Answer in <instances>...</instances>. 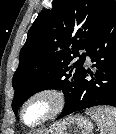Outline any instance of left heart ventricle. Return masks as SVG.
I'll return each instance as SVG.
<instances>
[{
	"label": "left heart ventricle",
	"mask_w": 116,
	"mask_h": 134,
	"mask_svg": "<svg viewBox=\"0 0 116 134\" xmlns=\"http://www.w3.org/2000/svg\"><path fill=\"white\" fill-rule=\"evenodd\" d=\"M49 109L48 102L44 100H38L33 102L25 112V120L28 123H34L38 121Z\"/></svg>",
	"instance_id": "obj_1"
}]
</instances>
